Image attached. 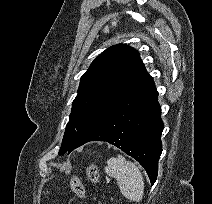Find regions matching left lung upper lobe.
Returning a JSON list of instances; mask_svg holds the SVG:
<instances>
[{"instance_id":"5c2ea615","label":"left lung upper lobe","mask_w":212,"mask_h":204,"mask_svg":"<svg viewBox=\"0 0 212 204\" xmlns=\"http://www.w3.org/2000/svg\"><path fill=\"white\" fill-rule=\"evenodd\" d=\"M150 78L133 48L117 44L102 52L81 77L59 155L70 153L81 133Z\"/></svg>"}]
</instances>
